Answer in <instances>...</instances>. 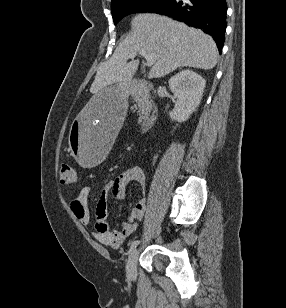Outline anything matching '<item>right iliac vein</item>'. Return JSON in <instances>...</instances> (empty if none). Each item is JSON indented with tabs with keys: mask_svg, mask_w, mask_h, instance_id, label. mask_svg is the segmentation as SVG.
I'll use <instances>...</instances> for the list:
<instances>
[{
	"mask_svg": "<svg viewBox=\"0 0 286 308\" xmlns=\"http://www.w3.org/2000/svg\"><path fill=\"white\" fill-rule=\"evenodd\" d=\"M139 256V249H133L129 255L127 262V276L133 278L136 275L137 259Z\"/></svg>",
	"mask_w": 286,
	"mask_h": 308,
	"instance_id": "63e3f726",
	"label": "right iliac vein"
}]
</instances>
